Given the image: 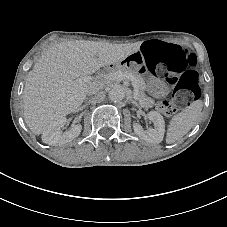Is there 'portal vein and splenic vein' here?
Returning a JSON list of instances; mask_svg holds the SVG:
<instances>
[{"instance_id": "portal-vein-and-splenic-vein-1", "label": "portal vein and splenic vein", "mask_w": 227, "mask_h": 227, "mask_svg": "<svg viewBox=\"0 0 227 227\" xmlns=\"http://www.w3.org/2000/svg\"><path fill=\"white\" fill-rule=\"evenodd\" d=\"M114 78L118 79V80H128V81H131L132 82V85H133V88H134V99L135 100H138V94H139V86L135 80V77L130 74V73H127V72H119V73H115L112 75Z\"/></svg>"}]
</instances>
